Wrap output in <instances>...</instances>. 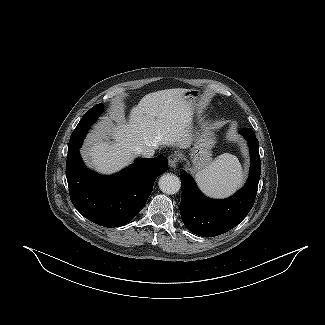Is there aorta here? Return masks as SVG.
Here are the masks:
<instances>
[{"label":"aorta","mask_w":325,"mask_h":325,"mask_svg":"<svg viewBox=\"0 0 325 325\" xmlns=\"http://www.w3.org/2000/svg\"><path fill=\"white\" fill-rule=\"evenodd\" d=\"M159 188L163 193L175 194L180 190V179L171 173L163 174L158 182Z\"/></svg>","instance_id":"aorta-1"}]
</instances>
